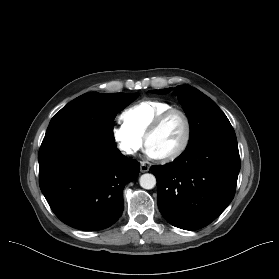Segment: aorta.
Segmentation results:
<instances>
[{"label":"aorta","mask_w":279,"mask_h":279,"mask_svg":"<svg viewBox=\"0 0 279 279\" xmlns=\"http://www.w3.org/2000/svg\"><path fill=\"white\" fill-rule=\"evenodd\" d=\"M140 186L144 189H152L156 185V178L153 174H143L139 179Z\"/></svg>","instance_id":"aorta-1"}]
</instances>
